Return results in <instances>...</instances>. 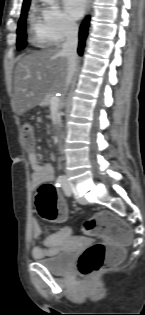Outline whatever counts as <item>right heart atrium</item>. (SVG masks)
I'll return each instance as SVG.
<instances>
[{
    "label": "right heart atrium",
    "mask_w": 145,
    "mask_h": 315,
    "mask_svg": "<svg viewBox=\"0 0 145 315\" xmlns=\"http://www.w3.org/2000/svg\"><path fill=\"white\" fill-rule=\"evenodd\" d=\"M40 20L54 43H60L72 37L77 31L76 23L58 6H50L40 11Z\"/></svg>",
    "instance_id": "obj_1"
}]
</instances>
